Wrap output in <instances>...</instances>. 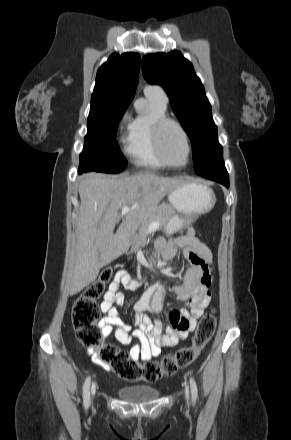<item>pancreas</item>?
I'll list each match as a JSON object with an SVG mask.
<instances>
[{
  "label": "pancreas",
  "mask_w": 291,
  "mask_h": 440,
  "mask_svg": "<svg viewBox=\"0 0 291 440\" xmlns=\"http://www.w3.org/2000/svg\"><path fill=\"white\" fill-rule=\"evenodd\" d=\"M174 214L175 209L171 205H168L166 203H162L161 205L156 207L150 218L140 225L138 233L133 238L134 244L132 246V249H135L136 246L142 245L145 242L146 237L149 234L148 228L151 223L158 221L159 226L164 227L169 221L170 217Z\"/></svg>",
  "instance_id": "pancreas-1"
}]
</instances>
